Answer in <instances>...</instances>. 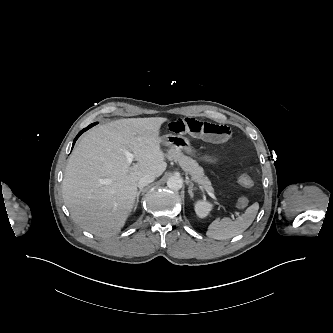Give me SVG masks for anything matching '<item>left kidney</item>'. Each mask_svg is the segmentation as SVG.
I'll use <instances>...</instances> for the list:
<instances>
[{
    "label": "left kidney",
    "instance_id": "obj_1",
    "mask_svg": "<svg viewBox=\"0 0 333 333\" xmlns=\"http://www.w3.org/2000/svg\"><path fill=\"white\" fill-rule=\"evenodd\" d=\"M212 209V205L207 201H197L195 211L198 217L205 218Z\"/></svg>",
    "mask_w": 333,
    "mask_h": 333
}]
</instances>
